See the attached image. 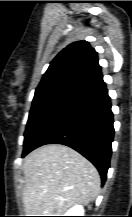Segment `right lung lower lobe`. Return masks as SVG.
<instances>
[{"label":"right lung lower lobe","instance_id":"1","mask_svg":"<svg viewBox=\"0 0 132 217\" xmlns=\"http://www.w3.org/2000/svg\"><path fill=\"white\" fill-rule=\"evenodd\" d=\"M113 122L110 97L104 85L78 96L63 108L22 157L45 144H63L91 161L104 184L112 153Z\"/></svg>","mask_w":132,"mask_h":217}]
</instances>
